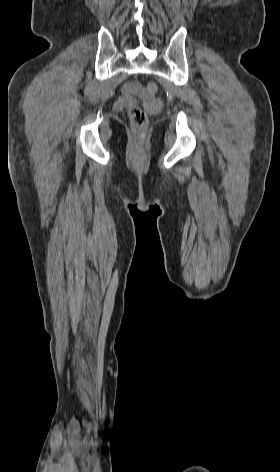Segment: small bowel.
<instances>
[{
    "label": "small bowel",
    "mask_w": 280,
    "mask_h": 472,
    "mask_svg": "<svg viewBox=\"0 0 280 472\" xmlns=\"http://www.w3.org/2000/svg\"><path fill=\"white\" fill-rule=\"evenodd\" d=\"M137 88L136 85L134 84H128L126 87H125V92L126 93H131L133 90H135Z\"/></svg>",
    "instance_id": "1"
}]
</instances>
